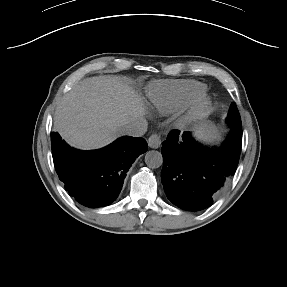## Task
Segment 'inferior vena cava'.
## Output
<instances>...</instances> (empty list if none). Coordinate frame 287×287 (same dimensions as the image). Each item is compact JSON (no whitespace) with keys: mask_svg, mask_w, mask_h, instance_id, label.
Instances as JSON below:
<instances>
[{"mask_svg":"<svg viewBox=\"0 0 287 287\" xmlns=\"http://www.w3.org/2000/svg\"><path fill=\"white\" fill-rule=\"evenodd\" d=\"M148 128V122L145 118H138L130 121L122 127L123 135L140 137L144 135Z\"/></svg>","mask_w":287,"mask_h":287,"instance_id":"obj_1","label":"inferior vena cava"}]
</instances>
